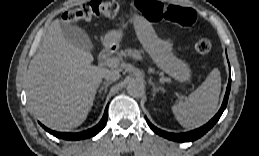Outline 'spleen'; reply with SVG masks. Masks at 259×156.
Wrapping results in <instances>:
<instances>
[{
  "instance_id": "spleen-1",
  "label": "spleen",
  "mask_w": 259,
  "mask_h": 156,
  "mask_svg": "<svg viewBox=\"0 0 259 156\" xmlns=\"http://www.w3.org/2000/svg\"><path fill=\"white\" fill-rule=\"evenodd\" d=\"M221 91L220 71L214 68L188 99L172 106L177 121L186 128H196L216 113Z\"/></svg>"
}]
</instances>
